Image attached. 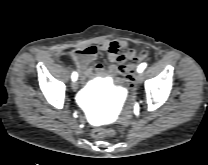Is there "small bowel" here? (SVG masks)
<instances>
[{
  "label": "small bowel",
  "instance_id": "c3829d8e",
  "mask_svg": "<svg viewBox=\"0 0 208 165\" xmlns=\"http://www.w3.org/2000/svg\"><path fill=\"white\" fill-rule=\"evenodd\" d=\"M99 52H106L109 62L117 65H112L109 69H105L101 64L93 63ZM72 57L77 65L83 83L88 79L94 78L96 75L112 78L111 92L108 95L110 102H115L118 95L124 93L123 80L120 76H116L121 73L120 68L125 66L127 61L139 58L133 50L127 48L125 42L115 40H103L97 45L86 46L75 52Z\"/></svg>",
  "mask_w": 208,
  "mask_h": 165
}]
</instances>
